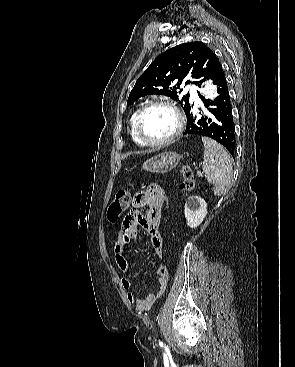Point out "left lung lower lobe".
Wrapping results in <instances>:
<instances>
[{"label":"left lung lower lobe","mask_w":295,"mask_h":367,"mask_svg":"<svg viewBox=\"0 0 295 367\" xmlns=\"http://www.w3.org/2000/svg\"><path fill=\"white\" fill-rule=\"evenodd\" d=\"M210 79L213 84L217 85L218 96L213 100L200 98L208 112L200 111L199 115L194 114L193 106L186 112L187 126L184 134H196L210 137L222 144L234 155L235 151V126L233 122L232 106L227 87L224 71L221 64L218 62L215 66Z\"/></svg>","instance_id":"0a47b994"}]
</instances>
